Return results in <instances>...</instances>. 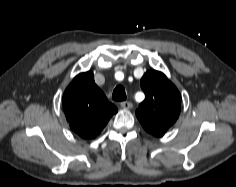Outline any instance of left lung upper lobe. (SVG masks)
<instances>
[{
    "mask_svg": "<svg viewBox=\"0 0 236 187\" xmlns=\"http://www.w3.org/2000/svg\"><path fill=\"white\" fill-rule=\"evenodd\" d=\"M140 85L145 100L136 110V116L148 133L161 137L179 117L181 95L171 81L156 70L147 71Z\"/></svg>",
    "mask_w": 236,
    "mask_h": 187,
    "instance_id": "5c2ea615",
    "label": "left lung upper lobe"
}]
</instances>
